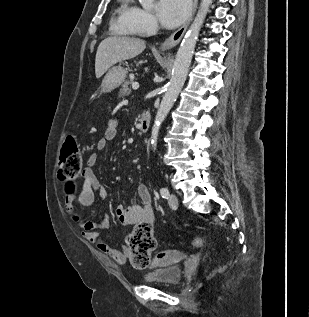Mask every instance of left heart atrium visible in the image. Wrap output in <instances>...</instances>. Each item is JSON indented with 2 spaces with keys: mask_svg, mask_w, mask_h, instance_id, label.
Masks as SVG:
<instances>
[{
  "mask_svg": "<svg viewBox=\"0 0 309 317\" xmlns=\"http://www.w3.org/2000/svg\"><path fill=\"white\" fill-rule=\"evenodd\" d=\"M190 12V0H160L158 17L166 28H175L181 24Z\"/></svg>",
  "mask_w": 309,
  "mask_h": 317,
  "instance_id": "left-heart-atrium-1",
  "label": "left heart atrium"
}]
</instances>
